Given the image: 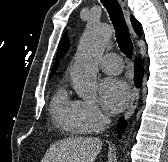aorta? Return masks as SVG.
Returning <instances> with one entry per match:
<instances>
[{"mask_svg": "<svg viewBox=\"0 0 168 162\" xmlns=\"http://www.w3.org/2000/svg\"><path fill=\"white\" fill-rule=\"evenodd\" d=\"M112 36L111 28L100 22L90 21L81 37L70 77L76 93L91 99L97 93V60L102 56Z\"/></svg>", "mask_w": 168, "mask_h": 162, "instance_id": "762f6f07", "label": "aorta"}]
</instances>
